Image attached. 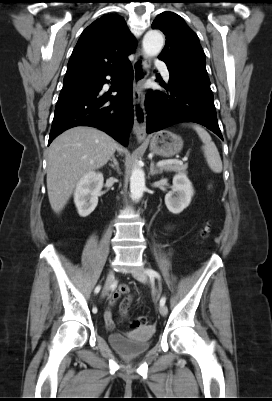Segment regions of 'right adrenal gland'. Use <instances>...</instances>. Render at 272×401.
Wrapping results in <instances>:
<instances>
[{
  "label": "right adrenal gland",
  "instance_id": "1",
  "mask_svg": "<svg viewBox=\"0 0 272 401\" xmlns=\"http://www.w3.org/2000/svg\"><path fill=\"white\" fill-rule=\"evenodd\" d=\"M112 163H109V166L115 170H119V164L116 157L113 155L110 159Z\"/></svg>",
  "mask_w": 272,
  "mask_h": 401
}]
</instances>
